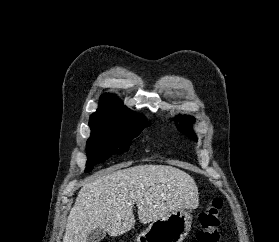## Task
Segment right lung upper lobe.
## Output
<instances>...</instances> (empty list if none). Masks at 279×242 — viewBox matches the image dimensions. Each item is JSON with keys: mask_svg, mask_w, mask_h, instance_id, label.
<instances>
[{"mask_svg": "<svg viewBox=\"0 0 279 242\" xmlns=\"http://www.w3.org/2000/svg\"><path fill=\"white\" fill-rule=\"evenodd\" d=\"M96 121L110 122L116 125H137L147 122L143 116L131 111L112 94H103L101 96L99 107L90 116L89 122Z\"/></svg>", "mask_w": 279, "mask_h": 242, "instance_id": "right-lung-upper-lobe-1", "label": "right lung upper lobe"}]
</instances>
